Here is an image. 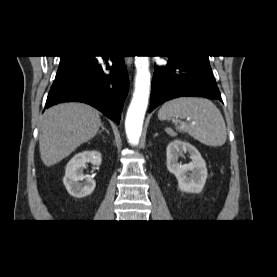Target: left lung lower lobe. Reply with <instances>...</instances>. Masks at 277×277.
I'll list each match as a JSON object with an SVG mask.
<instances>
[{
	"mask_svg": "<svg viewBox=\"0 0 277 277\" xmlns=\"http://www.w3.org/2000/svg\"><path fill=\"white\" fill-rule=\"evenodd\" d=\"M153 74L150 111L173 98L198 96L222 101L208 56H168Z\"/></svg>",
	"mask_w": 277,
	"mask_h": 277,
	"instance_id": "0a47b994",
	"label": "left lung lower lobe"
}]
</instances>
